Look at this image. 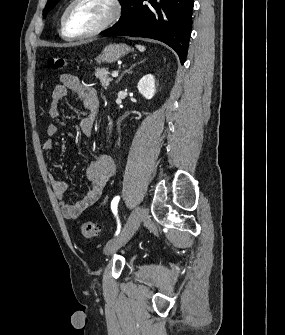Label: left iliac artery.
Here are the masks:
<instances>
[{
  "instance_id": "obj_1",
  "label": "left iliac artery",
  "mask_w": 285,
  "mask_h": 335,
  "mask_svg": "<svg viewBox=\"0 0 285 335\" xmlns=\"http://www.w3.org/2000/svg\"><path fill=\"white\" fill-rule=\"evenodd\" d=\"M119 199H120V197L116 196L111 202V209H112V212L114 213L115 216H117V206H118ZM117 222H118V227H117L116 235L119 234L120 228H121L118 217H117Z\"/></svg>"
}]
</instances>
